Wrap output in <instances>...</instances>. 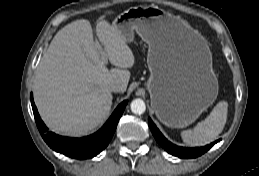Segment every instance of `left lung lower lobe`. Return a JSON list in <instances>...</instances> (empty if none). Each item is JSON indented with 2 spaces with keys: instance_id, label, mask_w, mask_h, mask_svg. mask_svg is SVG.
Wrapping results in <instances>:
<instances>
[{
  "instance_id": "left-lung-lower-lobe-1",
  "label": "left lung lower lobe",
  "mask_w": 259,
  "mask_h": 176,
  "mask_svg": "<svg viewBox=\"0 0 259 176\" xmlns=\"http://www.w3.org/2000/svg\"><path fill=\"white\" fill-rule=\"evenodd\" d=\"M149 127L151 129V132L157 142L170 154L174 156H178L180 158H195L198 157L205 152H207L214 144L219 142V140L206 145L204 147L200 148H184L180 146H176L172 144L171 142L167 141V139L162 135V133L158 130V128L155 126V124L152 122V120L149 118Z\"/></svg>"
}]
</instances>
